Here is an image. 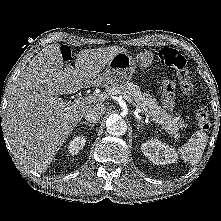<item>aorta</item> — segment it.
Segmentation results:
<instances>
[{"label":"aorta","instance_id":"1","mask_svg":"<svg viewBox=\"0 0 221 221\" xmlns=\"http://www.w3.org/2000/svg\"><path fill=\"white\" fill-rule=\"evenodd\" d=\"M107 132L114 136L124 135L127 131V123L119 115L113 114L106 121Z\"/></svg>","mask_w":221,"mask_h":221}]
</instances>
